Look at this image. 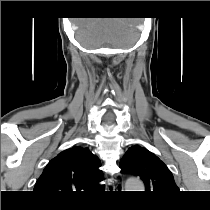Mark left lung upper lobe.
Instances as JSON below:
<instances>
[{"label":"left lung upper lobe","instance_id":"obj_1","mask_svg":"<svg viewBox=\"0 0 210 210\" xmlns=\"http://www.w3.org/2000/svg\"><path fill=\"white\" fill-rule=\"evenodd\" d=\"M119 166L122 172L139 176L148 193L169 195L179 190L167 166L146 148L132 146L123 156Z\"/></svg>","mask_w":210,"mask_h":210}]
</instances>
